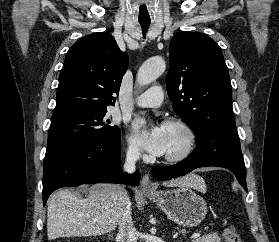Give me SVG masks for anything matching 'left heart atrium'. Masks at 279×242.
Masks as SVG:
<instances>
[{
	"mask_svg": "<svg viewBox=\"0 0 279 242\" xmlns=\"http://www.w3.org/2000/svg\"><path fill=\"white\" fill-rule=\"evenodd\" d=\"M132 139L149 153L161 156L166 152L165 125L139 118L132 125Z\"/></svg>",
	"mask_w": 279,
	"mask_h": 242,
	"instance_id": "obj_1",
	"label": "left heart atrium"
}]
</instances>
